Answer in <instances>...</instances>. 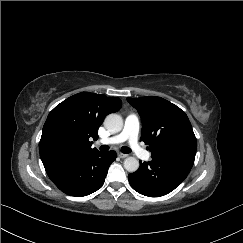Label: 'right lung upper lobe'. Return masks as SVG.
Wrapping results in <instances>:
<instances>
[{
    "label": "right lung upper lobe",
    "instance_id": "obj_1",
    "mask_svg": "<svg viewBox=\"0 0 243 243\" xmlns=\"http://www.w3.org/2000/svg\"><path fill=\"white\" fill-rule=\"evenodd\" d=\"M121 106L117 97L107 98L90 92L75 94L58 104L46 119L39 144L44 167L97 152L96 148H91V140L98 139V129L104 118ZM55 132L63 133L68 139L61 153H53L47 147L49 135Z\"/></svg>",
    "mask_w": 243,
    "mask_h": 243
}]
</instances>
